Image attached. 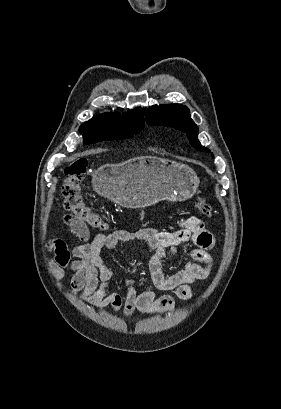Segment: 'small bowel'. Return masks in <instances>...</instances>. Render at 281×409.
I'll return each mask as SVG.
<instances>
[{
  "mask_svg": "<svg viewBox=\"0 0 281 409\" xmlns=\"http://www.w3.org/2000/svg\"><path fill=\"white\" fill-rule=\"evenodd\" d=\"M64 222L83 243L69 250L63 240H50L48 248L56 254L50 263L52 274L56 278H62L64 268L69 267L74 272L71 279L73 292L79 293L89 304L98 308L109 306L115 312H122L127 319L136 312L153 314L173 311L176 298L189 299L192 285L210 275L213 263L210 251L215 239L204 222L197 217L181 219L177 229L171 232L154 228L116 230L108 234L99 233L91 241L86 225L73 215L66 214ZM133 240H143L154 250L148 265L149 282L145 290L139 293L136 281L126 277L125 297L118 293H108L107 288L116 276L104 263L102 251ZM189 242L197 247L186 252L188 260L181 261L182 267L178 271L166 274L163 270L164 259H179L177 248ZM155 290H173L176 298L171 295L156 297Z\"/></svg>",
  "mask_w": 281,
  "mask_h": 409,
  "instance_id": "small-bowel-1",
  "label": "small bowel"
}]
</instances>
